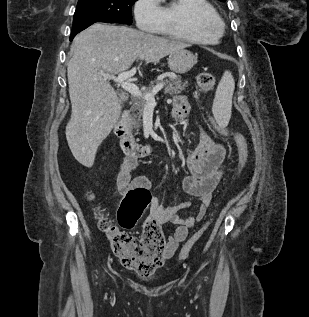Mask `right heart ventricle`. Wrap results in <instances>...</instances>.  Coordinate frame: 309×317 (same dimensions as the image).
I'll return each mask as SVG.
<instances>
[{
	"label": "right heart ventricle",
	"mask_w": 309,
	"mask_h": 317,
	"mask_svg": "<svg viewBox=\"0 0 309 317\" xmlns=\"http://www.w3.org/2000/svg\"><path fill=\"white\" fill-rule=\"evenodd\" d=\"M163 23L158 34L171 39L191 42L196 44H214L218 41L220 34L201 33L196 31L192 25L195 14L205 13L219 18L216 10L208 0H171L161 6Z\"/></svg>",
	"instance_id": "e07e8e85"
}]
</instances>
